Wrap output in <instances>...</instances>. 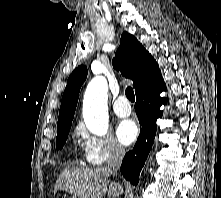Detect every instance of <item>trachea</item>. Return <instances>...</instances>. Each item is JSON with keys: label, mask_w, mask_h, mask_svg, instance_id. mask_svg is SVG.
Wrapping results in <instances>:
<instances>
[{"label": "trachea", "mask_w": 221, "mask_h": 198, "mask_svg": "<svg viewBox=\"0 0 221 198\" xmlns=\"http://www.w3.org/2000/svg\"><path fill=\"white\" fill-rule=\"evenodd\" d=\"M126 97L131 101L134 102L135 101V95H134V91L131 87H127L126 91H125Z\"/></svg>", "instance_id": "3493384b"}]
</instances>
